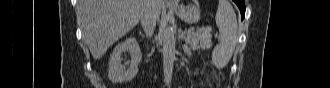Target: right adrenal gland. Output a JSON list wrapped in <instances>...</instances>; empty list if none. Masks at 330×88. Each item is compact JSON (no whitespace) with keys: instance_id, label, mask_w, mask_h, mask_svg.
<instances>
[{"instance_id":"right-adrenal-gland-1","label":"right adrenal gland","mask_w":330,"mask_h":88,"mask_svg":"<svg viewBox=\"0 0 330 88\" xmlns=\"http://www.w3.org/2000/svg\"><path fill=\"white\" fill-rule=\"evenodd\" d=\"M139 33L142 37H145L141 30H139Z\"/></svg>"}]
</instances>
